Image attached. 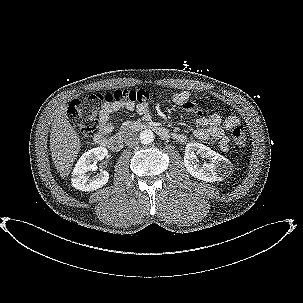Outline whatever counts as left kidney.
<instances>
[{"label": "left kidney", "instance_id": "5707ae66", "mask_svg": "<svg viewBox=\"0 0 303 303\" xmlns=\"http://www.w3.org/2000/svg\"><path fill=\"white\" fill-rule=\"evenodd\" d=\"M195 153L209 160V163H197ZM184 165L195 178L206 182L221 181L230 173V161L221 154L200 143H188L185 147Z\"/></svg>", "mask_w": 303, "mask_h": 303}]
</instances>
